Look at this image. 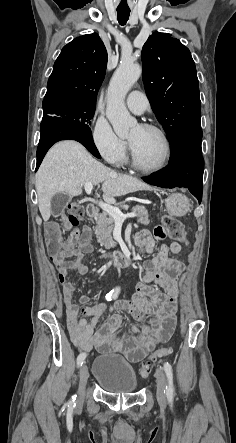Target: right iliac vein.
Wrapping results in <instances>:
<instances>
[{
  "mask_svg": "<svg viewBox=\"0 0 236 443\" xmlns=\"http://www.w3.org/2000/svg\"><path fill=\"white\" fill-rule=\"evenodd\" d=\"M89 372L86 364H83L80 368L79 372V389L78 393L80 396H83L86 389V384L88 381Z\"/></svg>",
  "mask_w": 236,
  "mask_h": 443,
  "instance_id": "obj_1",
  "label": "right iliac vein"
}]
</instances>
